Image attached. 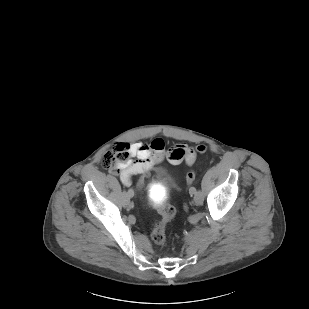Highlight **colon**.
Masks as SVG:
<instances>
[{"label": "colon", "mask_w": 309, "mask_h": 309, "mask_svg": "<svg viewBox=\"0 0 309 309\" xmlns=\"http://www.w3.org/2000/svg\"><path fill=\"white\" fill-rule=\"evenodd\" d=\"M173 150L170 149L169 153ZM199 154H203L207 150L205 144H199L196 147ZM131 155V146L128 143H116L112 145L102 157V166L109 170L114 171L121 168L125 163H127ZM146 175V174H144ZM160 175L163 179L168 180L167 173L164 170L160 171ZM196 173L194 170H189L186 174L187 185H192L195 181ZM142 180H140L138 186L141 188ZM161 219L154 225L151 231V239L157 245H163L166 242V228L169 222L174 218L175 211L169 205H161Z\"/></svg>", "instance_id": "colon-1"}]
</instances>
